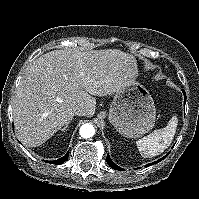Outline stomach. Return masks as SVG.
<instances>
[{
	"mask_svg": "<svg viewBox=\"0 0 199 199\" xmlns=\"http://www.w3.org/2000/svg\"><path fill=\"white\" fill-rule=\"evenodd\" d=\"M108 118L125 137L136 138L149 132L156 119L149 91L136 80L123 85L114 95Z\"/></svg>",
	"mask_w": 199,
	"mask_h": 199,
	"instance_id": "0dacf381",
	"label": "stomach"
}]
</instances>
